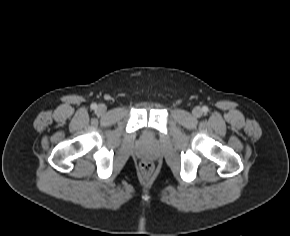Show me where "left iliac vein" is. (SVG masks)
I'll use <instances>...</instances> for the list:
<instances>
[{
	"instance_id": "left-iliac-vein-1",
	"label": "left iliac vein",
	"mask_w": 290,
	"mask_h": 236,
	"mask_svg": "<svg viewBox=\"0 0 290 236\" xmlns=\"http://www.w3.org/2000/svg\"><path fill=\"white\" fill-rule=\"evenodd\" d=\"M202 114H203V112H202V109L200 107H195L193 109V115L195 117H200V116H202Z\"/></svg>"
}]
</instances>
